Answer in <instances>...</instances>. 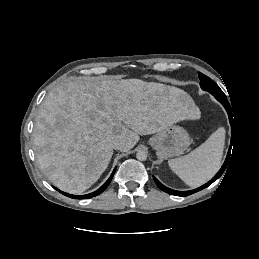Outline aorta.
Returning <instances> with one entry per match:
<instances>
[{"mask_svg":"<svg viewBox=\"0 0 259 259\" xmlns=\"http://www.w3.org/2000/svg\"><path fill=\"white\" fill-rule=\"evenodd\" d=\"M136 158L139 161H145L147 159V153L143 150H139L136 154Z\"/></svg>","mask_w":259,"mask_h":259,"instance_id":"762f6f07","label":"aorta"}]
</instances>
